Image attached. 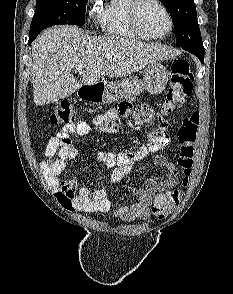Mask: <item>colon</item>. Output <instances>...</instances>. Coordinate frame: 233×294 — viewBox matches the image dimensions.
Instances as JSON below:
<instances>
[{"label": "colon", "mask_w": 233, "mask_h": 294, "mask_svg": "<svg viewBox=\"0 0 233 294\" xmlns=\"http://www.w3.org/2000/svg\"><path fill=\"white\" fill-rule=\"evenodd\" d=\"M192 89L193 74L189 62L186 59L175 60L171 67L169 86L163 103V113L170 114L179 110L191 94ZM50 121L55 125L74 124L76 123V113L68 102H60L51 114ZM199 124L200 114L198 111H194L183 120L178 130V141L180 143L178 165L183 174L182 186L160 193L155 197L152 211L160 219L166 217L184 197V188L188 184V178L193 167ZM63 190L72 195L74 193L73 183L70 181L64 183Z\"/></svg>", "instance_id": "1"}]
</instances>
